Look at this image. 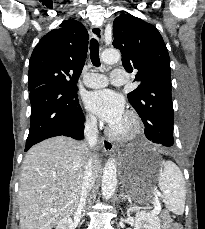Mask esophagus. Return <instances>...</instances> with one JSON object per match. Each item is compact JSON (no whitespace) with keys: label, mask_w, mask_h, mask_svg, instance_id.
Returning a JSON list of instances; mask_svg holds the SVG:
<instances>
[{"label":"esophagus","mask_w":205,"mask_h":229,"mask_svg":"<svg viewBox=\"0 0 205 229\" xmlns=\"http://www.w3.org/2000/svg\"><path fill=\"white\" fill-rule=\"evenodd\" d=\"M90 32L93 38L98 40L101 44L103 43V31L99 25H92ZM102 146H103L104 151L107 154H111L115 148L114 144L109 139H106V138H103Z\"/></svg>","instance_id":"obj_1"}]
</instances>
